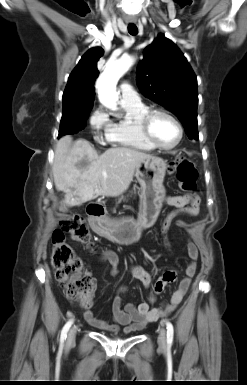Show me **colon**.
Returning <instances> with one entry per match:
<instances>
[{"label": "colon", "mask_w": 247, "mask_h": 385, "mask_svg": "<svg viewBox=\"0 0 247 385\" xmlns=\"http://www.w3.org/2000/svg\"><path fill=\"white\" fill-rule=\"evenodd\" d=\"M169 171L175 173L182 190L188 192L196 190L198 172L192 161L184 157H176L169 164ZM177 214L178 212H172L166 217L163 223L164 229L170 226ZM66 234L82 243L90 240L89 229L80 215H70L60 221L59 227L52 235L51 263L55 270V277L63 286L66 296L88 308L92 304L94 282L92 277L83 271L81 260L74 249L65 242Z\"/></svg>", "instance_id": "5ec220e1"}]
</instances>
